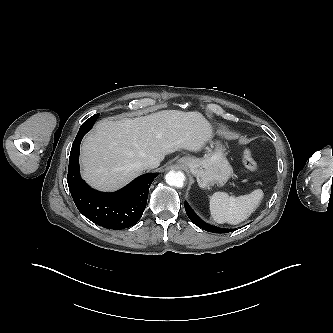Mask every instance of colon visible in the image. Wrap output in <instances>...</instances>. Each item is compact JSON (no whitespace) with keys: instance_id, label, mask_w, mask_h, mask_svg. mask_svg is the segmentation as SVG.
Wrapping results in <instances>:
<instances>
[{"instance_id":"obj_1","label":"colon","mask_w":333,"mask_h":333,"mask_svg":"<svg viewBox=\"0 0 333 333\" xmlns=\"http://www.w3.org/2000/svg\"><path fill=\"white\" fill-rule=\"evenodd\" d=\"M242 162L244 167L250 171L255 172L258 170L257 162L254 160L252 153L249 149L244 150L242 154Z\"/></svg>"}]
</instances>
